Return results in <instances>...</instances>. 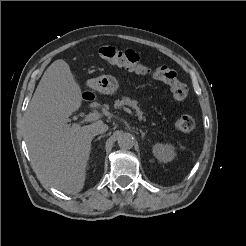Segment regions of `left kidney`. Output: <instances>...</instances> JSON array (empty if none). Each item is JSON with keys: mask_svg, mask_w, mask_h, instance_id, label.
Instances as JSON below:
<instances>
[{"mask_svg": "<svg viewBox=\"0 0 246 246\" xmlns=\"http://www.w3.org/2000/svg\"><path fill=\"white\" fill-rule=\"evenodd\" d=\"M153 155L160 162H169L176 156L175 148L171 144L156 143L152 148Z\"/></svg>", "mask_w": 246, "mask_h": 246, "instance_id": "1", "label": "left kidney"}]
</instances>
